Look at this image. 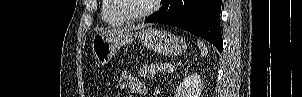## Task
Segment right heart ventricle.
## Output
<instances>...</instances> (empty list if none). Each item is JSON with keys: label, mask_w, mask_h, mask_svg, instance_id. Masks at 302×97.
<instances>
[{"label": "right heart ventricle", "mask_w": 302, "mask_h": 97, "mask_svg": "<svg viewBox=\"0 0 302 97\" xmlns=\"http://www.w3.org/2000/svg\"><path fill=\"white\" fill-rule=\"evenodd\" d=\"M101 18L106 25L111 27L122 26L127 22L115 12L112 0L102 1Z\"/></svg>", "instance_id": "1"}]
</instances>
